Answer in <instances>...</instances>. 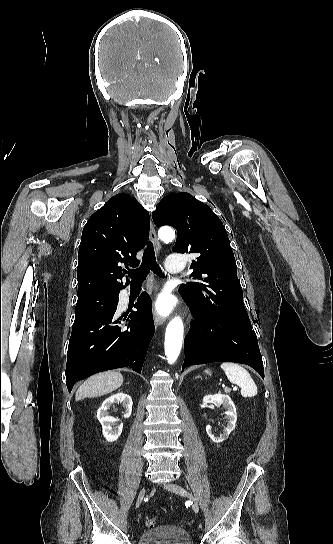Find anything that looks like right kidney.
Instances as JSON below:
<instances>
[{
	"label": "right kidney",
	"mask_w": 333,
	"mask_h": 544,
	"mask_svg": "<svg viewBox=\"0 0 333 544\" xmlns=\"http://www.w3.org/2000/svg\"><path fill=\"white\" fill-rule=\"evenodd\" d=\"M114 403L122 404L124 408V418H129L132 412V399L124 393H117L105 399L97 411V418L102 425V433L108 442H113L121 435L123 423L119 424V419L109 416L108 410Z\"/></svg>",
	"instance_id": "right-kidney-1"
}]
</instances>
